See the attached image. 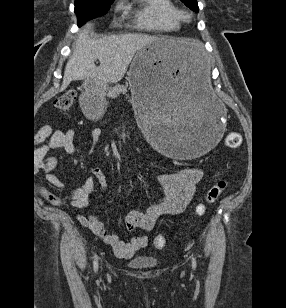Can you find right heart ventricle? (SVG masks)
<instances>
[{
	"label": "right heart ventricle",
	"mask_w": 286,
	"mask_h": 308,
	"mask_svg": "<svg viewBox=\"0 0 286 308\" xmlns=\"http://www.w3.org/2000/svg\"><path fill=\"white\" fill-rule=\"evenodd\" d=\"M123 10L137 30L167 33L181 27L180 10L173 0H138Z\"/></svg>",
	"instance_id": "obj_1"
}]
</instances>
